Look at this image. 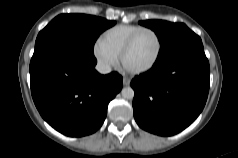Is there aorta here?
I'll return each instance as SVG.
<instances>
[{
  "mask_svg": "<svg viewBox=\"0 0 238 158\" xmlns=\"http://www.w3.org/2000/svg\"><path fill=\"white\" fill-rule=\"evenodd\" d=\"M122 97L125 99H133L134 90L131 87H125L121 91Z\"/></svg>",
  "mask_w": 238,
  "mask_h": 158,
  "instance_id": "obj_1",
  "label": "aorta"
}]
</instances>
